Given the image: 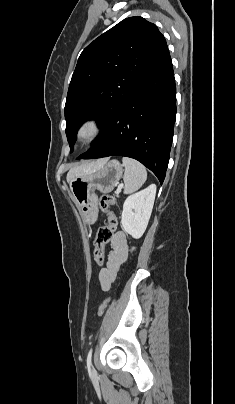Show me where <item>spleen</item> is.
Returning a JSON list of instances; mask_svg holds the SVG:
<instances>
[{
  "label": "spleen",
  "instance_id": "spleen-1",
  "mask_svg": "<svg viewBox=\"0 0 235 404\" xmlns=\"http://www.w3.org/2000/svg\"><path fill=\"white\" fill-rule=\"evenodd\" d=\"M125 172L123 180L125 183L124 193L129 194L138 190L147 179L146 168L137 160L123 157Z\"/></svg>",
  "mask_w": 235,
  "mask_h": 404
}]
</instances>
